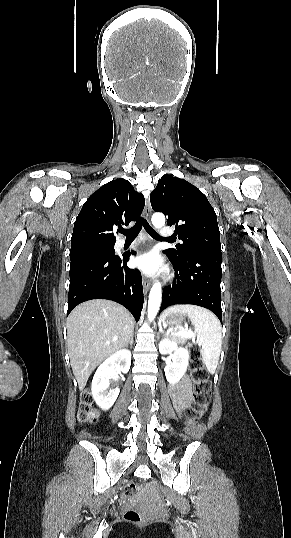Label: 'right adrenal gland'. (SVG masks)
I'll return each instance as SVG.
<instances>
[{
    "mask_svg": "<svg viewBox=\"0 0 291 538\" xmlns=\"http://www.w3.org/2000/svg\"><path fill=\"white\" fill-rule=\"evenodd\" d=\"M133 336H134V334L131 335L130 340H129V342L126 344V346H128V344H130V345L132 346V344H133Z\"/></svg>",
    "mask_w": 291,
    "mask_h": 538,
    "instance_id": "right-adrenal-gland-1",
    "label": "right adrenal gland"
}]
</instances>
